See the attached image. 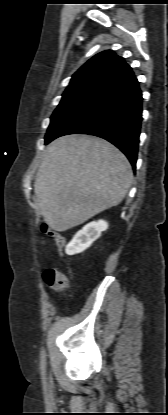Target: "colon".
Masks as SVG:
<instances>
[{
    "instance_id": "1",
    "label": "colon",
    "mask_w": 168,
    "mask_h": 415,
    "mask_svg": "<svg viewBox=\"0 0 168 415\" xmlns=\"http://www.w3.org/2000/svg\"><path fill=\"white\" fill-rule=\"evenodd\" d=\"M42 231L53 239L59 251L63 250L65 238L60 232L50 230L46 225H42ZM43 279L47 285L60 291H65L68 288V276L61 267L48 268L44 272Z\"/></svg>"
}]
</instances>
